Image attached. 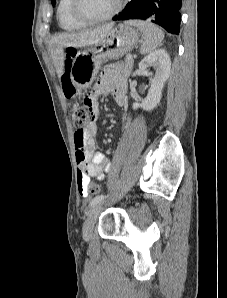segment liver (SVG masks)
<instances>
[{"label":"liver","instance_id":"6515ba94","mask_svg":"<svg viewBox=\"0 0 227 298\" xmlns=\"http://www.w3.org/2000/svg\"><path fill=\"white\" fill-rule=\"evenodd\" d=\"M113 26V23H109L92 30L62 33L53 37L50 41L51 55L54 65L57 68L58 77L61 78L64 72V48L95 45L108 35Z\"/></svg>","mask_w":227,"mask_h":298}]
</instances>
